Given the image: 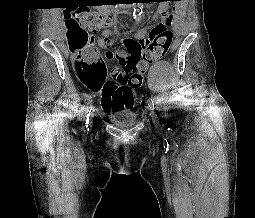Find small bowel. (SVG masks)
Listing matches in <instances>:
<instances>
[{
	"label": "small bowel",
	"mask_w": 255,
	"mask_h": 218,
	"mask_svg": "<svg viewBox=\"0 0 255 218\" xmlns=\"http://www.w3.org/2000/svg\"><path fill=\"white\" fill-rule=\"evenodd\" d=\"M167 9H168V6H167L166 4L160 5V6L158 7L157 11L154 13V15H153V17H152V20H153L154 22L158 21L159 17H161V16H163L164 14L167 13ZM111 35H112L111 31H109V30H104V31L101 33V35L98 37V39H97V45H98V47H100V48L109 47ZM118 52H121V51H118ZM119 62H120L121 67H122L121 70H123V68H124V66H125V64H126V58L123 59V60H120ZM102 103H103V95H102V99H101V104H102ZM102 107H103V105H102ZM103 109H104L105 111H107L104 107H103ZM107 112H108V111H107Z\"/></svg>",
	"instance_id": "1"
}]
</instances>
